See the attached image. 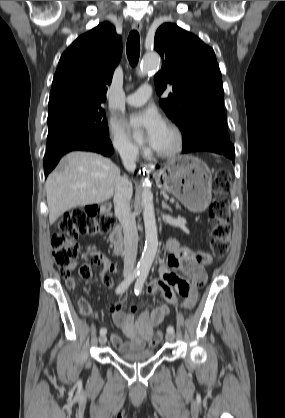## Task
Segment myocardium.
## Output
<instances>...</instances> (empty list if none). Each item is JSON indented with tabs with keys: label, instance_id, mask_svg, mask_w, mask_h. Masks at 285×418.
<instances>
[{
	"label": "myocardium",
	"instance_id": "obj_1",
	"mask_svg": "<svg viewBox=\"0 0 285 418\" xmlns=\"http://www.w3.org/2000/svg\"><path fill=\"white\" fill-rule=\"evenodd\" d=\"M167 129L172 133L173 138H174L172 146L167 149H160V148L154 149L155 154L162 158L174 157L181 151L183 147L184 137H183V133L181 129L173 123H169L167 125Z\"/></svg>",
	"mask_w": 285,
	"mask_h": 418
}]
</instances>
